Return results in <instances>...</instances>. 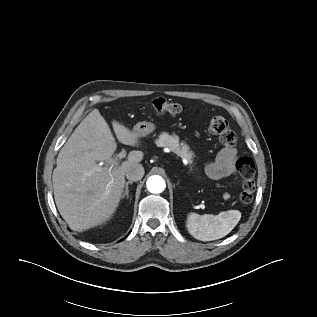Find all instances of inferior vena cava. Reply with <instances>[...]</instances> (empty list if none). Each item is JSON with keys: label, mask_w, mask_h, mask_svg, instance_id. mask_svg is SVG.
Instances as JSON below:
<instances>
[{"label": "inferior vena cava", "mask_w": 317, "mask_h": 317, "mask_svg": "<svg viewBox=\"0 0 317 317\" xmlns=\"http://www.w3.org/2000/svg\"><path fill=\"white\" fill-rule=\"evenodd\" d=\"M144 176V168L142 165H133L126 172V178L130 181L141 180Z\"/></svg>", "instance_id": "inferior-vena-cava-1"}]
</instances>
